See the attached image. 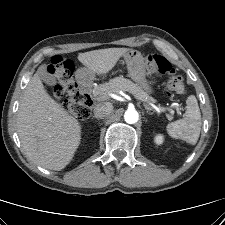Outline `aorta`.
Masks as SVG:
<instances>
[{"label": "aorta", "instance_id": "762f6f07", "mask_svg": "<svg viewBox=\"0 0 225 225\" xmlns=\"http://www.w3.org/2000/svg\"><path fill=\"white\" fill-rule=\"evenodd\" d=\"M139 114L135 109H127L124 113V120L128 124H134L138 121Z\"/></svg>", "mask_w": 225, "mask_h": 225}]
</instances>
